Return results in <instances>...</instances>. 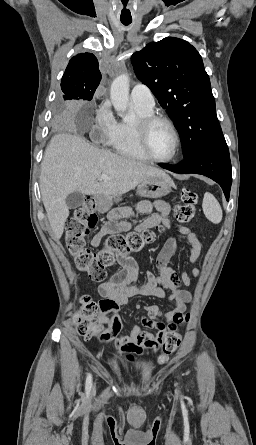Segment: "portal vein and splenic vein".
<instances>
[{
    "label": "portal vein and splenic vein",
    "instance_id": "18ae733b",
    "mask_svg": "<svg viewBox=\"0 0 256 445\" xmlns=\"http://www.w3.org/2000/svg\"><path fill=\"white\" fill-rule=\"evenodd\" d=\"M106 179H108V175H106V174H102V175L100 176V180H106Z\"/></svg>",
    "mask_w": 256,
    "mask_h": 445
}]
</instances>
